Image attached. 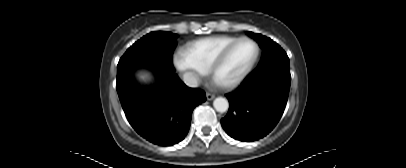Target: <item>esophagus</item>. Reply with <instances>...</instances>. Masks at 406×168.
Segmentation results:
<instances>
[{"label":"esophagus","mask_w":406,"mask_h":168,"mask_svg":"<svg viewBox=\"0 0 406 168\" xmlns=\"http://www.w3.org/2000/svg\"><path fill=\"white\" fill-rule=\"evenodd\" d=\"M214 97H215V95L213 94V93H206V98H207V100H212V99H214Z\"/></svg>","instance_id":"1"}]
</instances>
